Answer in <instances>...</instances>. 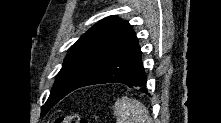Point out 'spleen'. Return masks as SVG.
<instances>
[{
    "label": "spleen",
    "mask_w": 221,
    "mask_h": 123,
    "mask_svg": "<svg viewBox=\"0 0 221 123\" xmlns=\"http://www.w3.org/2000/svg\"><path fill=\"white\" fill-rule=\"evenodd\" d=\"M117 123H151L149 112L143 103L133 98H120L114 104Z\"/></svg>",
    "instance_id": "spleen-1"
}]
</instances>
